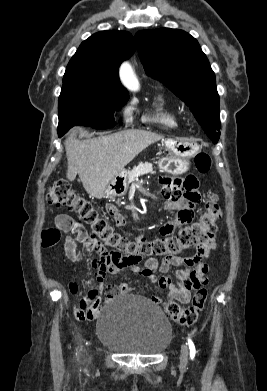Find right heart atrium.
Returning a JSON list of instances; mask_svg holds the SVG:
<instances>
[{
  "instance_id": "obj_1",
  "label": "right heart atrium",
  "mask_w": 267,
  "mask_h": 391,
  "mask_svg": "<svg viewBox=\"0 0 267 391\" xmlns=\"http://www.w3.org/2000/svg\"><path fill=\"white\" fill-rule=\"evenodd\" d=\"M131 112L132 106L130 104L125 105L122 109V115L125 119H127L131 115Z\"/></svg>"
}]
</instances>
